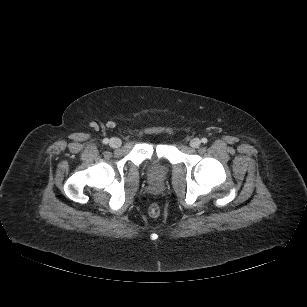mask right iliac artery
<instances>
[{
  "mask_svg": "<svg viewBox=\"0 0 307 307\" xmlns=\"http://www.w3.org/2000/svg\"><path fill=\"white\" fill-rule=\"evenodd\" d=\"M103 143L104 144H108L109 143V139L108 138L103 139Z\"/></svg>",
  "mask_w": 307,
  "mask_h": 307,
  "instance_id": "82829eb1",
  "label": "right iliac artery"
}]
</instances>
